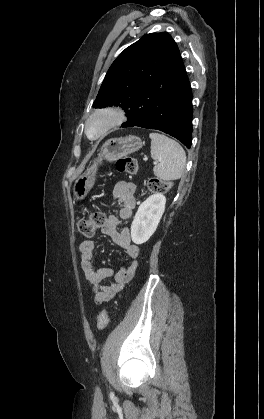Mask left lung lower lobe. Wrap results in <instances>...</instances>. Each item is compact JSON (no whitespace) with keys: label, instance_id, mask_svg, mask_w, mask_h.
Here are the masks:
<instances>
[{"label":"left lung lower lobe","instance_id":"0a47b994","mask_svg":"<svg viewBox=\"0 0 264 419\" xmlns=\"http://www.w3.org/2000/svg\"><path fill=\"white\" fill-rule=\"evenodd\" d=\"M126 115L128 121L122 127L160 130L190 148L192 92L181 56L176 74L161 85L151 87Z\"/></svg>","mask_w":264,"mask_h":419}]
</instances>
